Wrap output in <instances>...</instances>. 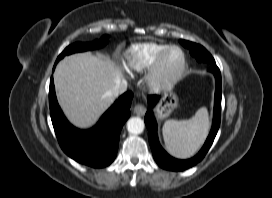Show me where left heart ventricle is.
I'll use <instances>...</instances> for the list:
<instances>
[{"mask_svg": "<svg viewBox=\"0 0 272 198\" xmlns=\"http://www.w3.org/2000/svg\"><path fill=\"white\" fill-rule=\"evenodd\" d=\"M182 65V54L179 50H172L163 64V73L167 76L175 74Z\"/></svg>", "mask_w": 272, "mask_h": 198, "instance_id": "left-heart-ventricle-1", "label": "left heart ventricle"}]
</instances>
